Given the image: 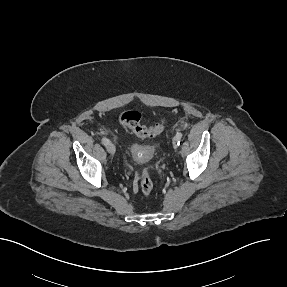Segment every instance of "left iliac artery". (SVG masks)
<instances>
[{
  "label": "left iliac artery",
  "instance_id": "obj_1",
  "mask_svg": "<svg viewBox=\"0 0 287 287\" xmlns=\"http://www.w3.org/2000/svg\"><path fill=\"white\" fill-rule=\"evenodd\" d=\"M182 136H183L182 133H177V134H176V138H177L178 144H180V141H181V139H182Z\"/></svg>",
  "mask_w": 287,
  "mask_h": 287
}]
</instances>
